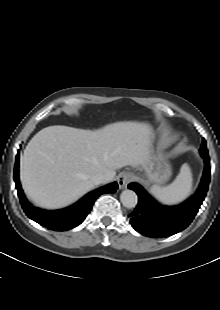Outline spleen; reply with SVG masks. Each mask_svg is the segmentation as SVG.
I'll return each mask as SVG.
<instances>
[{
	"label": "spleen",
	"mask_w": 220,
	"mask_h": 310,
	"mask_svg": "<svg viewBox=\"0 0 220 310\" xmlns=\"http://www.w3.org/2000/svg\"><path fill=\"white\" fill-rule=\"evenodd\" d=\"M192 173L187 164L182 165L176 179L168 186H153L151 194L162 204L174 205L185 200L192 189Z\"/></svg>",
	"instance_id": "obj_1"
}]
</instances>
